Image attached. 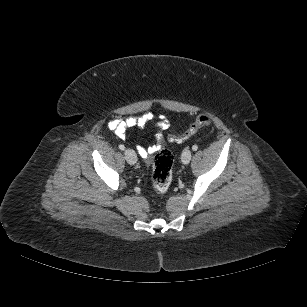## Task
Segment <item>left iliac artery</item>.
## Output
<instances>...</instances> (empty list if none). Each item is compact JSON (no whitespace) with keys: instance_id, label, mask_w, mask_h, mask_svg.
<instances>
[{"instance_id":"44dca946","label":"left iliac artery","mask_w":307,"mask_h":307,"mask_svg":"<svg viewBox=\"0 0 307 307\" xmlns=\"http://www.w3.org/2000/svg\"><path fill=\"white\" fill-rule=\"evenodd\" d=\"M197 149H198V146H197V145H193V146H192V150H193V151H196Z\"/></svg>"}]
</instances>
